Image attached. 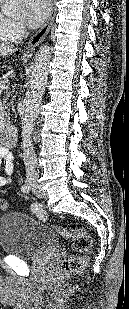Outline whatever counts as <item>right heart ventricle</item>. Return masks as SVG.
<instances>
[{"label": "right heart ventricle", "mask_w": 129, "mask_h": 309, "mask_svg": "<svg viewBox=\"0 0 129 309\" xmlns=\"http://www.w3.org/2000/svg\"><path fill=\"white\" fill-rule=\"evenodd\" d=\"M16 40L11 32V20L0 11V44L12 43Z\"/></svg>", "instance_id": "1"}]
</instances>
